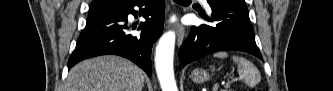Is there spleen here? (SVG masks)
I'll return each mask as SVG.
<instances>
[{"label":"spleen","mask_w":333,"mask_h":91,"mask_svg":"<svg viewBox=\"0 0 333 91\" xmlns=\"http://www.w3.org/2000/svg\"><path fill=\"white\" fill-rule=\"evenodd\" d=\"M213 56L217 58H226L228 54L227 52L222 51L215 53ZM232 60L237 64L238 74L243 78L246 85L254 87L260 82L261 74L252 62L239 56H232Z\"/></svg>","instance_id":"3e777b00"}]
</instances>
